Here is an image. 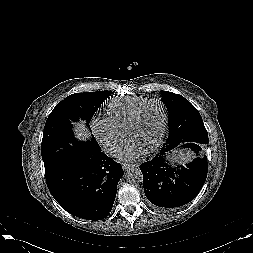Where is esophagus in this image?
<instances>
[{
    "mask_svg": "<svg viewBox=\"0 0 253 253\" xmlns=\"http://www.w3.org/2000/svg\"><path fill=\"white\" fill-rule=\"evenodd\" d=\"M135 167V164H130V163H123L122 168L124 171H128L129 169Z\"/></svg>",
    "mask_w": 253,
    "mask_h": 253,
    "instance_id": "34e87169",
    "label": "esophagus"
}]
</instances>
